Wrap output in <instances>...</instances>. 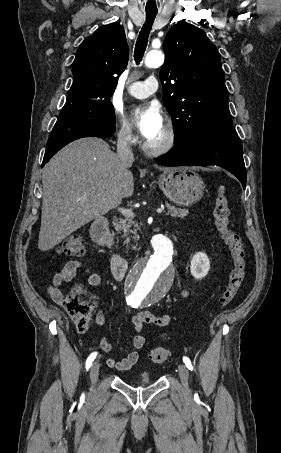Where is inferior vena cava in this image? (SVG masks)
Wrapping results in <instances>:
<instances>
[{
    "mask_svg": "<svg viewBox=\"0 0 281 453\" xmlns=\"http://www.w3.org/2000/svg\"><path fill=\"white\" fill-rule=\"evenodd\" d=\"M131 142L132 140L129 138L128 132L119 134L117 140V154L120 156V160L123 164H132L134 160Z\"/></svg>",
    "mask_w": 281,
    "mask_h": 453,
    "instance_id": "inferior-vena-cava-1",
    "label": "inferior vena cava"
}]
</instances>
